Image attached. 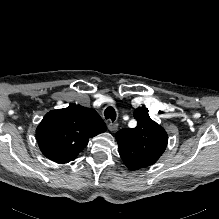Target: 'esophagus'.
<instances>
[{"label": "esophagus", "mask_w": 219, "mask_h": 219, "mask_svg": "<svg viewBox=\"0 0 219 219\" xmlns=\"http://www.w3.org/2000/svg\"><path fill=\"white\" fill-rule=\"evenodd\" d=\"M107 126L111 132H116L118 129V124L114 122H109Z\"/></svg>", "instance_id": "34e87169"}]
</instances>
